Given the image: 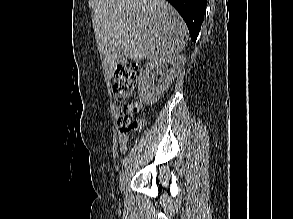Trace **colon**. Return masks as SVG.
I'll use <instances>...</instances> for the list:
<instances>
[{
  "mask_svg": "<svg viewBox=\"0 0 293 219\" xmlns=\"http://www.w3.org/2000/svg\"><path fill=\"white\" fill-rule=\"evenodd\" d=\"M139 77V65L128 63L117 68L113 79V92L116 98L123 101L118 114V123L121 131L126 133L136 132L143 126V121L138 118L140 103L132 99Z\"/></svg>",
  "mask_w": 293,
  "mask_h": 219,
  "instance_id": "1",
  "label": "colon"
}]
</instances>
